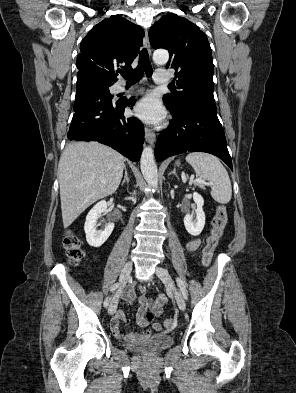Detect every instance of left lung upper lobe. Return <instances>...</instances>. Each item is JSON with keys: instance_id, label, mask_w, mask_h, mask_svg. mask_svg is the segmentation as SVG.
<instances>
[{"instance_id": "1", "label": "left lung upper lobe", "mask_w": 296, "mask_h": 393, "mask_svg": "<svg viewBox=\"0 0 296 393\" xmlns=\"http://www.w3.org/2000/svg\"><path fill=\"white\" fill-rule=\"evenodd\" d=\"M149 39L154 49L169 51L166 67H173L178 77L176 85L180 91L175 87L163 96L170 112H178L196 100L215 102L212 53L204 32L183 17L167 14L150 28Z\"/></svg>"}]
</instances>
